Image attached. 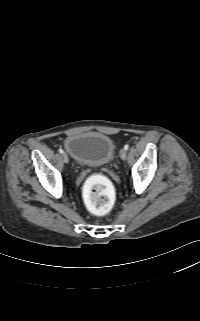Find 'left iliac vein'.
<instances>
[{
    "mask_svg": "<svg viewBox=\"0 0 200 321\" xmlns=\"http://www.w3.org/2000/svg\"><path fill=\"white\" fill-rule=\"evenodd\" d=\"M120 157L121 159L125 160L127 157V151L125 149L120 150Z\"/></svg>",
    "mask_w": 200,
    "mask_h": 321,
    "instance_id": "obj_1",
    "label": "left iliac vein"
}]
</instances>
